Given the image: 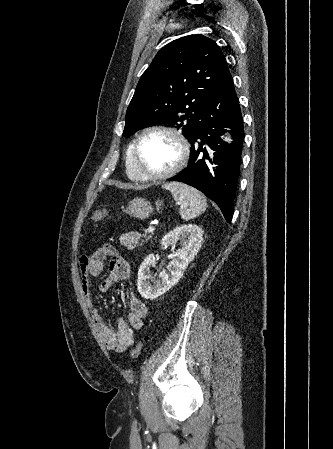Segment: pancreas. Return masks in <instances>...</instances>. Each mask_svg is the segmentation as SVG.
Here are the masks:
<instances>
[{"instance_id": "pancreas-1", "label": "pancreas", "mask_w": 333, "mask_h": 449, "mask_svg": "<svg viewBox=\"0 0 333 449\" xmlns=\"http://www.w3.org/2000/svg\"><path fill=\"white\" fill-rule=\"evenodd\" d=\"M141 237L145 238L146 234L141 235L136 231H132L120 236L119 240L121 245L127 247L130 250H133L134 248L138 247L144 242V240H142ZM150 238L151 236H148L146 240Z\"/></svg>"}]
</instances>
